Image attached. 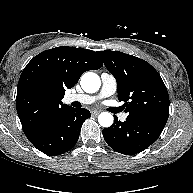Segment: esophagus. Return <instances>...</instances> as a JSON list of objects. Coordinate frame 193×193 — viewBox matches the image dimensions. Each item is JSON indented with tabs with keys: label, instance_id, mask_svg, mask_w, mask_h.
I'll return each instance as SVG.
<instances>
[{
	"label": "esophagus",
	"instance_id": "obj_1",
	"mask_svg": "<svg viewBox=\"0 0 193 193\" xmlns=\"http://www.w3.org/2000/svg\"><path fill=\"white\" fill-rule=\"evenodd\" d=\"M99 113H100L99 110H92V111H91V115H92V116H97Z\"/></svg>",
	"mask_w": 193,
	"mask_h": 193
}]
</instances>
